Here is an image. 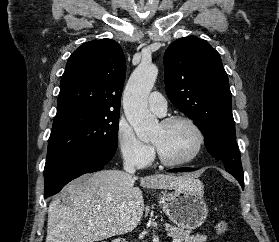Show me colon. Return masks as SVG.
I'll return each instance as SVG.
<instances>
[{"mask_svg": "<svg viewBox=\"0 0 279 242\" xmlns=\"http://www.w3.org/2000/svg\"><path fill=\"white\" fill-rule=\"evenodd\" d=\"M228 224L225 221H219L216 224V231L218 234L220 235H226L228 233ZM102 242H106V241H102Z\"/></svg>", "mask_w": 279, "mask_h": 242, "instance_id": "colon-1", "label": "colon"}]
</instances>
